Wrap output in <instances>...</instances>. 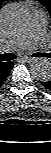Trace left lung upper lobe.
<instances>
[{
    "label": "left lung upper lobe",
    "mask_w": 51,
    "mask_h": 153,
    "mask_svg": "<svg viewBox=\"0 0 51 153\" xmlns=\"http://www.w3.org/2000/svg\"><path fill=\"white\" fill-rule=\"evenodd\" d=\"M39 1L41 4H43L49 11L50 16H51V0H37Z\"/></svg>",
    "instance_id": "1"
}]
</instances>
